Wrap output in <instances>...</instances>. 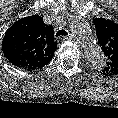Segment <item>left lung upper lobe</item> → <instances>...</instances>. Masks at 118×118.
Wrapping results in <instances>:
<instances>
[{"instance_id":"5c2ea615","label":"left lung upper lobe","mask_w":118,"mask_h":118,"mask_svg":"<svg viewBox=\"0 0 118 118\" xmlns=\"http://www.w3.org/2000/svg\"><path fill=\"white\" fill-rule=\"evenodd\" d=\"M98 43L106 56L103 75L118 74V25L105 18L93 19Z\"/></svg>"}]
</instances>
